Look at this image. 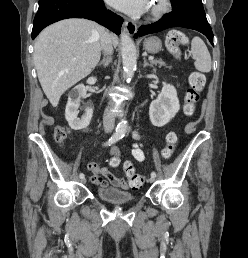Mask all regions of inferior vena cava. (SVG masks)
I'll list each match as a JSON object with an SVG mask.
<instances>
[{
	"instance_id": "602c4592",
	"label": "inferior vena cava",
	"mask_w": 248,
	"mask_h": 258,
	"mask_svg": "<svg viewBox=\"0 0 248 258\" xmlns=\"http://www.w3.org/2000/svg\"><path fill=\"white\" fill-rule=\"evenodd\" d=\"M102 50L106 55H108V57H111L113 53L112 36L108 32H106L105 37L103 39ZM114 121V114L110 111L109 108H107L103 117V127L105 132L108 133L113 130Z\"/></svg>"
}]
</instances>
